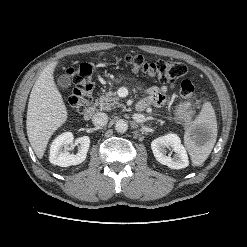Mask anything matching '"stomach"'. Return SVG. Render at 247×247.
Returning <instances> with one entry per match:
<instances>
[{
	"instance_id": "0dacf381",
	"label": "stomach",
	"mask_w": 247,
	"mask_h": 247,
	"mask_svg": "<svg viewBox=\"0 0 247 247\" xmlns=\"http://www.w3.org/2000/svg\"><path fill=\"white\" fill-rule=\"evenodd\" d=\"M184 119L186 121L187 131L192 132V131L196 130V128H198V126L194 125V122L191 119H189L187 117H184Z\"/></svg>"
}]
</instances>
